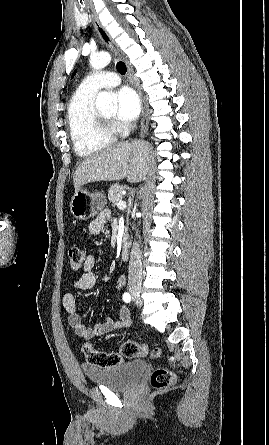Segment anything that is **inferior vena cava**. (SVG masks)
<instances>
[{
	"instance_id": "602c4592",
	"label": "inferior vena cava",
	"mask_w": 269,
	"mask_h": 445,
	"mask_svg": "<svg viewBox=\"0 0 269 445\" xmlns=\"http://www.w3.org/2000/svg\"><path fill=\"white\" fill-rule=\"evenodd\" d=\"M128 279L129 281L142 279L141 252L137 242H134L131 250Z\"/></svg>"
}]
</instances>
